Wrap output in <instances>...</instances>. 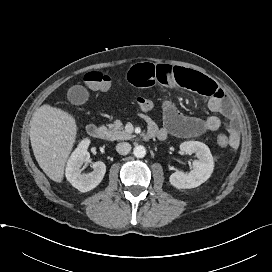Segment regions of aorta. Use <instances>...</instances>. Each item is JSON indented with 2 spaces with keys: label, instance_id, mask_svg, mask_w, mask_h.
<instances>
[{
  "label": "aorta",
  "instance_id": "762f6f07",
  "mask_svg": "<svg viewBox=\"0 0 272 272\" xmlns=\"http://www.w3.org/2000/svg\"><path fill=\"white\" fill-rule=\"evenodd\" d=\"M133 154L137 158H143L146 155V149L144 146H136L133 150Z\"/></svg>",
  "mask_w": 272,
  "mask_h": 272
}]
</instances>
